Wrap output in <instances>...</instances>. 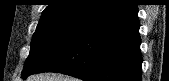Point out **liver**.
Listing matches in <instances>:
<instances>
[{"label":"liver","instance_id":"liver-1","mask_svg":"<svg viewBox=\"0 0 169 81\" xmlns=\"http://www.w3.org/2000/svg\"><path fill=\"white\" fill-rule=\"evenodd\" d=\"M31 79H32L31 81H72V78L64 77L62 75L53 74V73L36 75L31 77Z\"/></svg>","mask_w":169,"mask_h":81}]
</instances>
